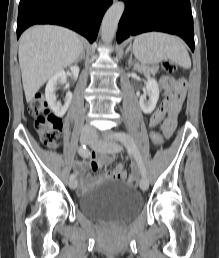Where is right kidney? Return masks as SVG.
<instances>
[{"mask_svg":"<svg viewBox=\"0 0 219 258\" xmlns=\"http://www.w3.org/2000/svg\"><path fill=\"white\" fill-rule=\"evenodd\" d=\"M71 72L76 79L79 74V67L78 66H71ZM66 73L64 71H59L55 73L47 82L45 88V98L48 103L50 109L54 112L57 117H63L71 103L72 100V93L68 92L65 97L64 105H61L57 102L55 90L58 84H62L66 81Z\"/></svg>","mask_w":219,"mask_h":258,"instance_id":"right-kidney-1","label":"right kidney"}]
</instances>
